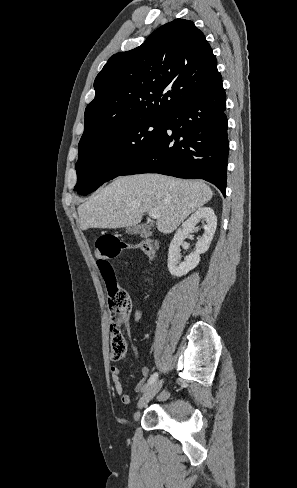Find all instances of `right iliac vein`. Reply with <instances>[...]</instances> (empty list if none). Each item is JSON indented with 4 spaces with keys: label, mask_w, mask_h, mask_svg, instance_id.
<instances>
[{
    "label": "right iliac vein",
    "mask_w": 297,
    "mask_h": 488,
    "mask_svg": "<svg viewBox=\"0 0 297 488\" xmlns=\"http://www.w3.org/2000/svg\"><path fill=\"white\" fill-rule=\"evenodd\" d=\"M163 385V380L155 382L151 385L142 395L138 402V408H143L161 389Z\"/></svg>",
    "instance_id": "obj_1"
}]
</instances>
